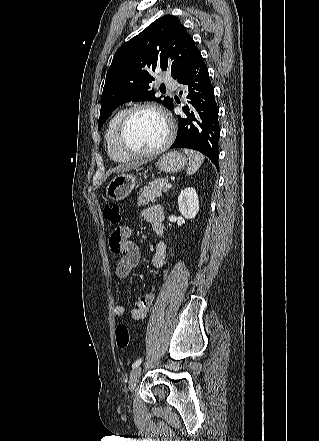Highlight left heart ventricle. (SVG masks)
Masks as SVG:
<instances>
[{"label": "left heart ventricle", "mask_w": 319, "mask_h": 441, "mask_svg": "<svg viewBox=\"0 0 319 441\" xmlns=\"http://www.w3.org/2000/svg\"><path fill=\"white\" fill-rule=\"evenodd\" d=\"M167 128L155 112L142 110L130 119L124 134L126 145L135 151H150L166 138Z\"/></svg>", "instance_id": "obj_1"}]
</instances>
